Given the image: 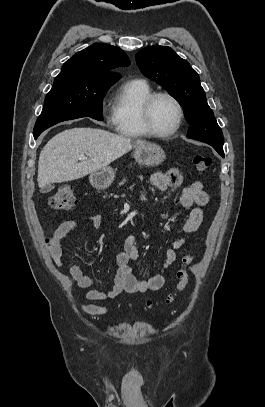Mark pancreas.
<instances>
[{"mask_svg": "<svg viewBox=\"0 0 265 407\" xmlns=\"http://www.w3.org/2000/svg\"><path fill=\"white\" fill-rule=\"evenodd\" d=\"M126 182V179H124L119 185H123Z\"/></svg>", "mask_w": 265, "mask_h": 407, "instance_id": "pancreas-1", "label": "pancreas"}]
</instances>
